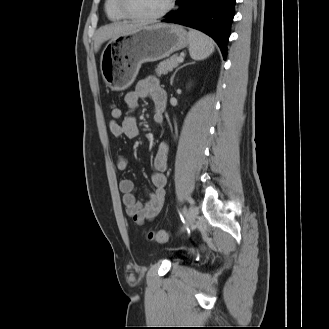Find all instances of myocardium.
I'll return each instance as SVG.
<instances>
[{
  "mask_svg": "<svg viewBox=\"0 0 329 329\" xmlns=\"http://www.w3.org/2000/svg\"><path fill=\"white\" fill-rule=\"evenodd\" d=\"M118 7L121 13L128 19L140 21V22H153L166 16L174 7L175 0H168L166 6L157 14L151 16H143L132 12L128 6L126 0H117Z\"/></svg>",
  "mask_w": 329,
  "mask_h": 329,
  "instance_id": "obj_1",
  "label": "myocardium"
}]
</instances>
